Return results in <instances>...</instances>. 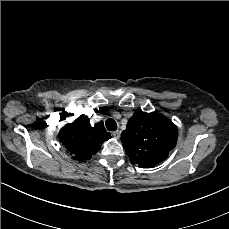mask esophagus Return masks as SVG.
Segmentation results:
<instances>
[{
	"label": "esophagus",
	"instance_id": "esophagus-1",
	"mask_svg": "<svg viewBox=\"0 0 229 229\" xmlns=\"http://www.w3.org/2000/svg\"><path fill=\"white\" fill-rule=\"evenodd\" d=\"M113 136H114L116 139H119V138H120V131H114V132H113Z\"/></svg>",
	"mask_w": 229,
	"mask_h": 229
}]
</instances>
